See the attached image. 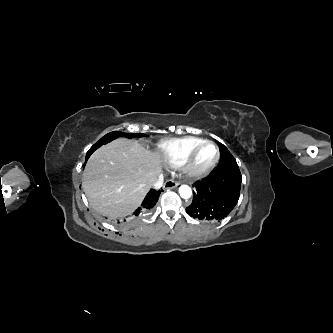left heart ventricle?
<instances>
[{
	"label": "left heart ventricle",
	"instance_id": "b2bd125f",
	"mask_svg": "<svg viewBox=\"0 0 333 333\" xmlns=\"http://www.w3.org/2000/svg\"><path fill=\"white\" fill-rule=\"evenodd\" d=\"M216 156V150L213 146H205L198 154L196 158V165L197 166H204L209 164L214 160Z\"/></svg>",
	"mask_w": 333,
	"mask_h": 333
}]
</instances>
